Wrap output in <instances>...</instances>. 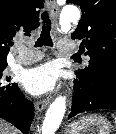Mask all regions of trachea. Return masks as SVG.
Segmentation results:
<instances>
[{
  "instance_id": "obj_1",
  "label": "trachea",
  "mask_w": 116,
  "mask_h": 134,
  "mask_svg": "<svg viewBox=\"0 0 116 134\" xmlns=\"http://www.w3.org/2000/svg\"><path fill=\"white\" fill-rule=\"evenodd\" d=\"M42 19H43V26H42V31L40 34V37L38 38L35 47H41V46H52L53 42L50 36V31H51V20L49 17L48 12H43L42 13Z\"/></svg>"
}]
</instances>
